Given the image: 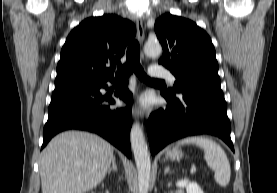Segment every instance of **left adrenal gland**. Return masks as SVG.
Instances as JSON below:
<instances>
[{
	"instance_id": "left-adrenal-gland-1",
	"label": "left adrenal gland",
	"mask_w": 277,
	"mask_h": 193,
	"mask_svg": "<svg viewBox=\"0 0 277 193\" xmlns=\"http://www.w3.org/2000/svg\"><path fill=\"white\" fill-rule=\"evenodd\" d=\"M169 172H170V167L167 166V167L165 168V170H164V174H167V173H169Z\"/></svg>"
}]
</instances>
